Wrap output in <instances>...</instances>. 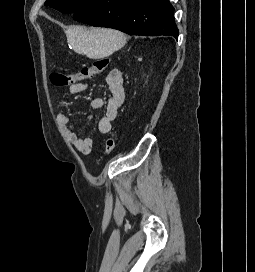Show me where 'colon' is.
I'll return each mask as SVG.
<instances>
[{
  "label": "colon",
  "instance_id": "obj_1",
  "mask_svg": "<svg viewBox=\"0 0 255 272\" xmlns=\"http://www.w3.org/2000/svg\"><path fill=\"white\" fill-rule=\"evenodd\" d=\"M109 64L107 58L96 59L91 66H84L76 73H63L53 72L51 73V81L53 84L58 86H68L78 82L85 81L94 77L96 74L102 72ZM115 138L108 137L104 145V155L109 156L115 150Z\"/></svg>",
  "mask_w": 255,
  "mask_h": 272
}]
</instances>
